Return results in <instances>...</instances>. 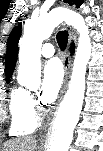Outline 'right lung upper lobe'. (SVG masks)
Instances as JSON below:
<instances>
[{
  "label": "right lung upper lobe",
  "instance_id": "cb5924a9",
  "mask_svg": "<svg viewBox=\"0 0 103 151\" xmlns=\"http://www.w3.org/2000/svg\"><path fill=\"white\" fill-rule=\"evenodd\" d=\"M21 37V23L15 26L7 40V52L5 56L6 79H10L18 56V40Z\"/></svg>",
  "mask_w": 103,
  "mask_h": 151
}]
</instances>
